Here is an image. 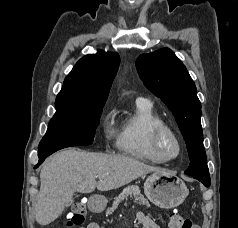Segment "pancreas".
<instances>
[{
	"label": "pancreas",
	"instance_id": "obj_1",
	"mask_svg": "<svg viewBox=\"0 0 238 228\" xmlns=\"http://www.w3.org/2000/svg\"><path fill=\"white\" fill-rule=\"evenodd\" d=\"M129 195L133 196L135 201H138L139 203L150 207L149 201L141 194L139 186L129 185L128 187L123 189V191L115 198L112 206L107 209L106 213L112 214L117 209L118 205L122 201H124Z\"/></svg>",
	"mask_w": 238,
	"mask_h": 228
}]
</instances>
